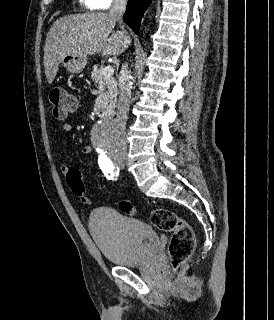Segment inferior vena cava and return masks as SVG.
<instances>
[{
  "label": "inferior vena cava",
  "instance_id": "602c4592",
  "mask_svg": "<svg viewBox=\"0 0 274 320\" xmlns=\"http://www.w3.org/2000/svg\"><path fill=\"white\" fill-rule=\"evenodd\" d=\"M127 0H113V6L110 8L109 16L114 18L116 22H118L121 32H118L120 38L125 40V44H129L130 38L127 36L126 30H124V26H122V18L123 14L126 10ZM126 48V46H125ZM131 76L128 70L127 64L122 66V70L119 74L118 78V88H119V100H118V108H117V118L120 124L125 126L127 122V116L129 112V104H130V96H131V84H130ZM126 148V146H124Z\"/></svg>",
  "mask_w": 274,
  "mask_h": 320
}]
</instances>
